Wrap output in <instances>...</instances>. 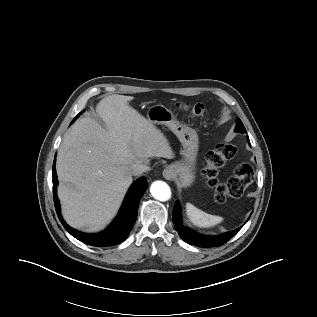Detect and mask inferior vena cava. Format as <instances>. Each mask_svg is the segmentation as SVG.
<instances>
[{
	"mask_svg": "<svg viewBox=\"0 0 317 317\" xmlns=\"http://www.w3.org/2000/svg\"><path fill=\"white\" fill-rule=\"evenodd\" d=\"M149 169H150V167L147 166L146 164L137 163L131 167L130 173H131V175H134V176L141 175L142 173L148 171Z\"/></svg>",
	"mask_w": 317,
	"mask_h": 317,
	"instance_id": "inferior-vena-cava-1",
	"label": "inferior vena cava"
}]
</instances>
